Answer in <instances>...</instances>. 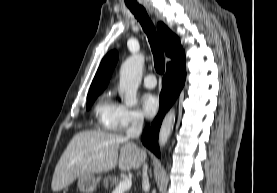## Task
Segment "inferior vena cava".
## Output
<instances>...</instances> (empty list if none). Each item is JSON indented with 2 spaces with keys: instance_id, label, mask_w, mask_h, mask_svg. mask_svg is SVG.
Segmentation results:
<instances>
[{
  "instance_id": "1",
  "label": "inferior vena cava",
  "mask_w": 277,
  "mask_h": 193,
  "mask_svg": "<svg viewBox=\"0 0 277 193\" xmlns=\"http://www.w3.org/2000/svg\"><path fill=\"white\" fill-rule=\"evenodd\" d=\"M143 128V117L136 115L131 118V127L126 132V138H138L142 132ZM148 166L144 163L143 165V180L142 188L147 192L150 188L149 178L147 174Z\"/></svg>"
}]
</instances>
